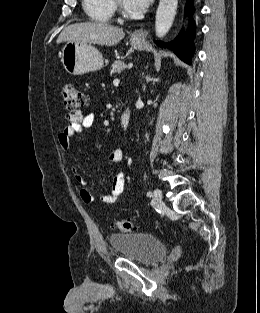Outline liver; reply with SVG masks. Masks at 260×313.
<instances>
[{"label": "liver", "instance_id": "obj_1", "mask_svg": "<svg viewBox=\"0 0 260 313\" xmlns=\"http://www.w3.org/2000/svg\"><path fill=\"white\" fill-rule=\"evenodd\" d=\"M122 28L104 22H83L66 27L57 39V43L73 41L88 44L113 46L123 39Z\"/></svg>", "mask_w": 260, "mask_h": 313}]
</instances>
